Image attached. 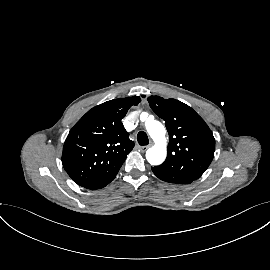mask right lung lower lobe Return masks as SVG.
Returning <instances> with one entry per match:
<instances>
[{
    "mask_svg": "<svg viewBox=\"0 0 270 270\" xmlns=\"http://www.w3.org/2000/svg\"><path fill=\"white\" fill-rule=\"evenodd\" d=\"M114 178H111V179L106 180L104 182H101V183H98V184H95V185H91V186H88V187H85V188L91 189V190L103 188L104 186H106L107 184H109Z\"/></svg>",
    "mask_w": 270,
    "mask_h": 270,
    "instance_id": "right-lung-lower-lobe-1",
    "label": "right lung lower lobe"
}]
</instances>
